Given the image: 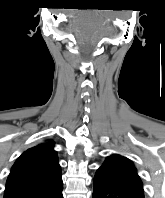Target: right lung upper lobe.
Listing matches in <instances>:
<instances>
[{
    "label": "right lung upper lobe",
    "mask_w": 165,
    "mask_h": 198,
    "mask_svg": "<svg viewBox=\"0 0 165 198\" xmlns=\"http://www.w3.org/2000/svg\"><path fill=\"white\" fill-rule=\"evenodd\" d=\"M54 142L25 151L8 176L4 198H50L62 189L61 168Z\"/></svg>",
    "instance_id": "right-lung-upper-lobe-1"
}]
</instances>
